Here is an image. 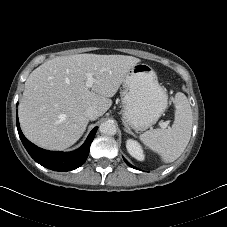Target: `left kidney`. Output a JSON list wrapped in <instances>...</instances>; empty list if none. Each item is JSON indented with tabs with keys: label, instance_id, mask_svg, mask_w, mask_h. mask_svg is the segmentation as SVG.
Segmentation results:
<instances>
[{
	"label": "left kidney",
	"instance_id": "5707ae66",
	"mask_svg": "<svg viewBox=\"0 0 227 227\" xmlns=\"http://www.w3.org/2000/svg\"><path fill=\"white\" fill-rule=\"evenodd\" d=\"M126 148L132 157H134L135 159H137L139 161L144 160L145 156L143 154L142 147L140 146V144L137 141H135L133 139H128L126 141Z\"/></svg>",
	"mask_w": 227,
	"mask_h": 227
}]
</instances>
